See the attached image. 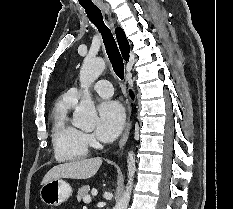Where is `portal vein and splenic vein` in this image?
<instances>
[{
    "instance_id": "portal-vein-and-splenic-vein-1",
    "label": "portal vein and splenic vein",
    "mask_w": 233,
    "mask_h": 209,
    "mask_svg": "<svg viewBox=\"0 0 233 209\" xmlns=\"http://www.w3.org/2000/svg\"><path fill=\"white\" fill-rule=\"evenodd\" d=\"M84 203L86 204H89L91 202V197L90 196H86L84 199H83Z\"/></svg>"
}]
</instances>
